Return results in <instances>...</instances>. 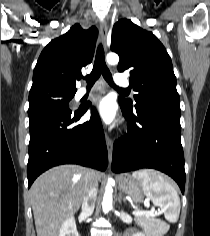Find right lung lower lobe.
I'll return each instance as SVG.
<instances>
[{
  "label": "right lung lower lobe",
  "instance_id": "1",
  "mask_svg": "<svg viewBox=\"0 0 210 236\" xmlns=\"http://www.w3.org/2000/svg\"><path fill=\"white\" fill-rule=\"evenodd\" d=\"M89 105L72 112L55 108L29 116L30 142L27 165L28 187L47 169L61 164H80L104 171L108 154L98 113L72 127Z\"/></svg>",
  "mask_w": 210,
  "mask_h": 236
}]
</instances>
